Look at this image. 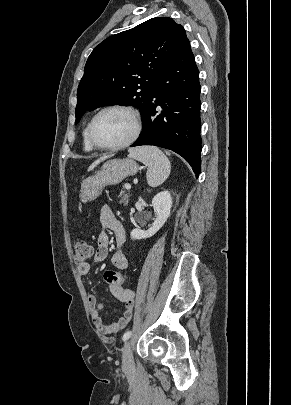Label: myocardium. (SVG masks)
Listing matches in <instances>:
<instances>
[{
	"label": "myocardium",
	"instance_id": "myocardium-1",
	"mask_svg": "<svg viewBox=\"0 0 291 405\" xmlns=\"http://www.w3.org/2000/svg\"><path fill=\"white\" fill-rule=\"evenodd\" d=\"M108 111H123L128 113L134 122V130L131 136L123 141L122 143L116 144V145H101L96 140L94 139L93 136V127L98 119L99 116H101L103 113L108 112ZM142 130V118L137 109H135L132 106L128 105H123V104H113V105H108L103 108H101L90 120V122L87 125V139L89 144L96 150H101V151H118L125 149L132 145L139 137L140 133Z\"/></svg>",
	"mask_w": 291,
	"mask_h": 405
}]
</instances>
